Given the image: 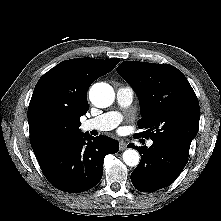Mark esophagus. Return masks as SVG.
<instances>
[{
    "label": "esophagus",
    "instance_id": "obj_1",
    "mask_svg": "<svg viewBox=\"0 0 221 221\" xmlns=\"http://www.w3.org/2000/svg\"><path fill=\"white\" fill-rule=\"evenodd\" d=\"M119 149L121 151L125 150L126 149V143L124 141H120L119 142Z\"/></svg>",
    "mask_w": 221,
    "mask_h": 221
}]
</instances>
